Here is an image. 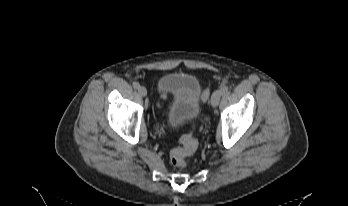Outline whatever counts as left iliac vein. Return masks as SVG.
<instances>
[{
  "label": "left iliac vein",
  "mask_w": 348,
  "mask_h": 206,
  "mask_svg": "<svg viewBox=\"0 0 348 206\" xmlns=\"http://www.w3.org/2000/svg\"><path fill=\"white\" fill-rule=\"evenodd\" d=\"M221 96H222V92L220 89H217L216 91H214V93L211 97V105L213 107L218 106Z\"/></svg>",
  "instance_id": "1"
}]
</instances>
